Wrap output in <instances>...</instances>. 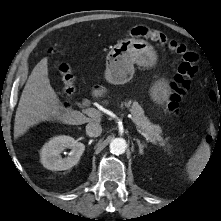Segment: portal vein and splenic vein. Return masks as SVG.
<instances>
[{"mask_svg":"<svg viewBox=\"0 0 221 221\" xmlns=\"http://www.w3.org/2000/svg\"><path fill=\"white\" fill-rule=\"evenodd\" d=\"M85 113H86L89 117H92V118H100V116H101L100 112H99L97 109H95V108H87V109L85 110ZM141 134H142L145 138H147L151 143L156 144L155 139H154L150 134H148V133H146V132H144V131H142Z\"/></svg>","mask_w":221,"mask_h":221,"instance_id":"1","label":"portal vein and splenic vein"}]
</instances>
